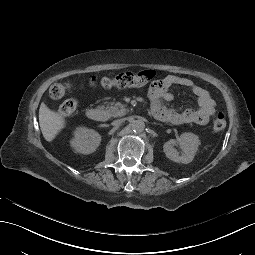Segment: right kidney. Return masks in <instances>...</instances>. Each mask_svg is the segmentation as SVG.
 I'll return each mask as SVG.
<instances>
[{"mask_svg":"<svg viewBox=\"0 0 255 255\" xmlns=\"http://www.w3.org/2000/svg\"><path fill=\"white\" fill-rule=\"evenodd\" d=\"M101 143V136L93 130H78L72 145L77 151L84 154L94 153Z\"/></svg>","mask_w":255,"mask_h":255,"instance_id":"1","label":"right kidney"}]
</instances>
